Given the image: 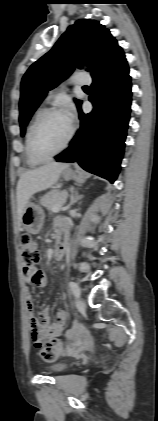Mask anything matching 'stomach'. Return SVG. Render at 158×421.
<instances>
[{
    "label": "stomach",
    "instance_id": "obj_1",
    "mask_svg": "<svg viewBox=\"0 0 158 421\" xmlns=\"http://www.w3.org/2000/svg\"><path fill=\"white\" fill-rule=\"evenodd\" d=\"M62 177L65 180H82L84 178V174L80 170H73L68 167L62 171ZM21 222L24 229L30 234L39 233L44 222V212L42 208L39 205L28 201L22 215Z\"/></svg>",
    "mask_w": 158,
    "mask_h": 421
}]
</instances>
